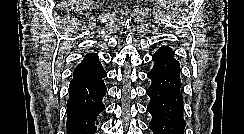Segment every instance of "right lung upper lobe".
I'll return each mask as SVG.
<instances>
[{"mask_svg": "<svg viewBox=\"0 0 244 134\" xmlns=\"http://www.w3.org/2000/svg\"><path fill=\"white\" fill-rule=\"evenodd\" d=\"M96 54H88L83 61L76 66L71 82L92 79L106 74Z\"/></svg>", "mask_w": 244, "mask_h": 134, "instance_id": "right-lung-upper-lobe-1", "label": "right lung upper lobe"}]
</instances>
